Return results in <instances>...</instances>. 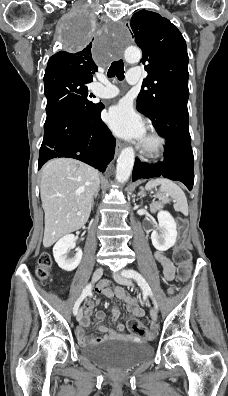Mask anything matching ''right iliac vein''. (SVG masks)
I'll return each instance as SVG.
<instances>
[{
	"mask_svg": "<svg viewBox=\"0 0 228 396\" xmlns=\"http://www.w3.org/2000/svg\"><path fill=\"white\" fill-rule=\"evenodd\" d=\"M102 275H103V268L102 267L97 268L93 273L92 282L98 281ZM81 318H82V308H80L79 311L77 312V321L79 322Z\"/></svg>",
	"mask_w": 228,
	"mask_h": 396,
	"instance_id": "1",
	"label": "right iliac vein"
}]
</instances>
